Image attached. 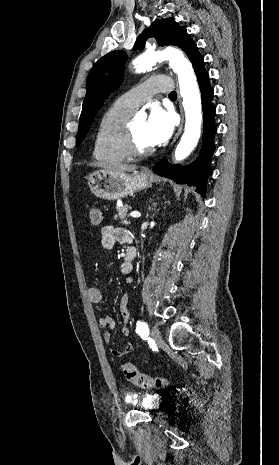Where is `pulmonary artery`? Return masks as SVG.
Listing matches in <instances>:
<instances>
[{"instance_id":"obj_1","label":"pulmonary artery","mask_w":279,"mask_h":465,"mask_svg":"<svg viewBox=\"0 0 279 465\" xmlns=\"http://www.w3.org/2000/svg\"><path fill=\"white\" fill-rule=\"evenodd\" d=\"M172 89L169 78L165 76L151 77L136 88L124 93L117 103L131 111L149 101L158 92H170Z\"/></svg>"}]
</instances>
